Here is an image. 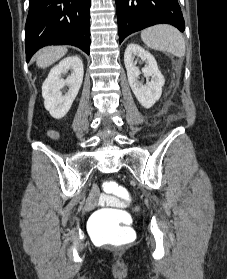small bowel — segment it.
<instances>
[{"label":"small bowel","instance_id":"1","mask_svg":"<svg viewBox=\"0 0 227 279\" xmlns=\"http://www.w3.org/2000/svg\"><path fill=\"white\" fill-rule=\"evenodd\" d=\"M98 205H110L119 208H126L128 204L124 200H120L113 196H106L101 193L100 189L97 186H93L84 206L86 211L94 209Z\"/></svg>","mask_w":227,"mask_h":279}]
</instances>
